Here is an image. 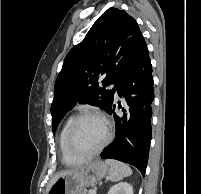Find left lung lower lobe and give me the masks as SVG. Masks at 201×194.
Segmentation results:
<instances>
[{"label":"left lung lower lobe","mask_w":201,"mask_h":194,"mask_svg":"<svg viewBox=\"0 0 201 194\" xmlns=\"http://www.w3.org/2000/svg\"><path fill=\"white\" fill-rule=\"evenodd\" d=\"M118 95L124 97L128 107L127 110L123 108L125 114L122 118L114 112L116 105L113 104L108 110L116 122V136L103 151L101 158L131 164L144 175L152 136L154 99L152 66L145 41L120 81Z\"/></svg>","instance_id":"obj_1"}]
</instances>
